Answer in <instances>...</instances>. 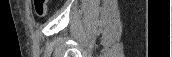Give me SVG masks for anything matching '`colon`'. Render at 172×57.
Instances as JSON below:
<instances>
[{"mask_svg": "<svg viewBox=\"0 0 172 57\" xmlns=\"http://www.w3.org/2000/svg\"><path fill=\"white\" fill-rule=\"evenodd\" d=\"M47 0H34V10L39 17H43L47 11Z\"/></svg>", "mask_w": 172, "mask_h": 57, "instance_id": "1", "label": "colon"}]
</instances>
